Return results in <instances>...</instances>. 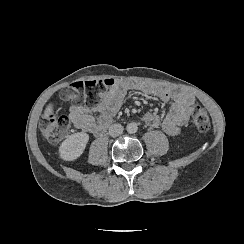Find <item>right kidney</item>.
<instances>
[{"instance_id":"right-kidney-1","label":"right kidney","mask_w":244,"mask_h":244,"mask_svg":"<svg viewBox=\"0 0 244 244\" xmlns=\"http://www.w3.org/2000/svg\"><path fill=\"white\" fill-rule=\"evenodd\" d=\"M89 135L78 132L70 135L59 147L60 157L66 161L77 159L84 151Z\"/></svg>"}]
</instances>
